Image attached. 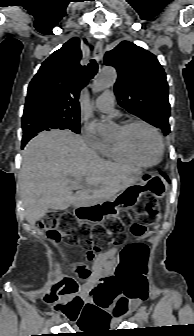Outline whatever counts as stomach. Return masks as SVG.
<instances>
[{
	"label": "stomach",
	"mask_w": 194,
	"mask_h": 336,
	"mask_svg": "<svg viewBox=\"0 0 194 336\" xmlns=\"http://www.w3.org/2000/svg\"><path fill=\"white\" fill-rule=\"evenodd\" d=\"M165 180L153 173L142 174L139 182L129 186L110 200L88 207H76L73 211L79 222L101 223L105 218L117 216L120 207L131 208L144 193H151L155 198L165 195Z\"/></svg>",
	"instance_id": "obj_1"
}]
</instances>
